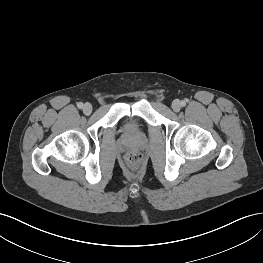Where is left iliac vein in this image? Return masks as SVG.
I'll use <instances>...</instances> for the list:
<instances>
[{"mask_svg": "<svg viewBox=\"0 0 263 263\" xmlns=\"http://www.w3.org/2000/svg\"><path fill=\"white\" fill-rule=\"evenodd\" d=\"M181 102L179 101V100H174L173 102H172V109H173V111H175V112H179L180 111V109H181Z\"/></svg>", "mask_w": 263, "mask_h": 263, "instance_id": "left-iliac-vein-1", "label": "left iliac vein"}]
</instances>
